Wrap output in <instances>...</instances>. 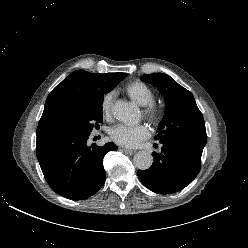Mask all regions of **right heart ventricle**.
<instances>
[{
    "label": "right heart ventricle",
    "instance_id": "1",
    "mask_svg": "<svg viewBox=\"0 0 248 248\" xmlns=\"http://www.w3.org/2000/svg\"><path fill=\"white\" fill-rule=\"evenodd\" d=\"M125 91L133 101L141 106H145L155 99L153 90L141 81H134L127 84Z\"/></svg>",
    "mask_w": 248,
    "mask_h": 248
}]
</instances>
